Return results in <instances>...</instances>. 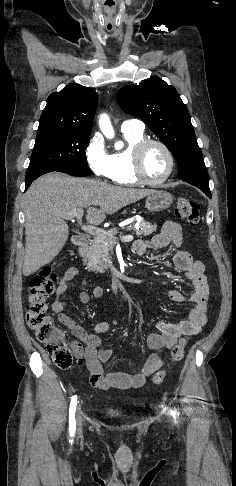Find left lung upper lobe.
<instances>
[{"label": "left lung upper lobe", "mask_w": 236, "mask_h": 486, "mask_svg": "<svg viewBox=\"0 0 236 486\" xmlns=\"http://www.w3.org/2000/svg\"><path fill=\"white\" fill-rule=\"evenodd\" d=\"M121 109L142 119L171 150L178 165V178L211 197L208 174L198 146L189 112L176 89L158 77L140 85L121 88Z\"/></svg>", "instance_id": "5c2ea615"}]
</instances>
